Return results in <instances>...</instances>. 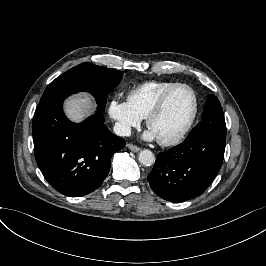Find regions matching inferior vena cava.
Returning <instances> with one entry per match:
<instances>
[{"instance_id": "602c4592", "label": "inferior vena cava", "mask_w": 266, "mask_h": 266, "mask_svg": "<svg viewBox=\"0 0 266 266\" xmlns=\"http://www.w3.org/2000/svg\"><path fill=\"white\" fill-rule=\"evenodd\" d=\"M114 132L119 136H131V127L122 123H115Z\"/></svg>"}]
</instances>
